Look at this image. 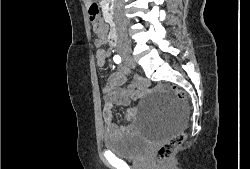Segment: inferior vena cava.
I'll return each mask as SVG.
<instances>
[{
	"label": "inferior vena cava",
	"mask_w": 250,
	"mask_h": 169,
	"mask_svg": "<svg viewBox=\"0 0 250 169\" xmlns=\"http://www.w3.org/2000/svg\"><path fill=\"white\" fill-rule=\"evenodd\" d=\"M124 0H115L114 4V22L116 24L118 34H124L126 30V20L123 10Z\"/></svg>",
	"instance_id": "602c4592"
}]
</instances>
